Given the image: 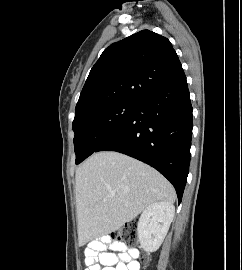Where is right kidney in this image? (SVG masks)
Here are the masks:
<instances>
[{
	"mask_svg": "<svg viewBox=\"0 0 242 270\" xmlns=\"http://www.w3.org/2000/svg\"><path fill=\"white\" fill-rule=\"evenodd\" d=\"M175 207L168 202H155L141 214L137 233L141 247L147 252L156 251L162 244L173 220Z\"/></svg>",
	"mask_w": 242,
	"mask_h": 270,
	"instance_id": "ca27d5eb",
	"label": "right kidney"
}]
</instances>
